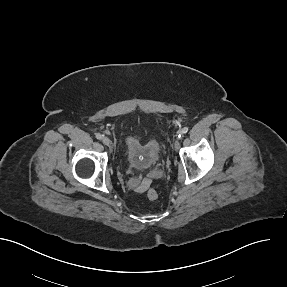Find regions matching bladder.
<instances>
[{"label": "bladder", "mask_w": 287, "mask_h": 287, "mask_svg": "<svg viewBox=\"0 0 287 287\" xmlns=\"http://www.w3.org/2000/svg\"><path fill=\"white\" fill-rule=\"evenodd\" d=\"M161 146L158 140H142L138 135H129L124 143V157L127 165L135 170H148L159 160Z\"/></svg>", "instance_id": "obj_1"}]
</instances>
